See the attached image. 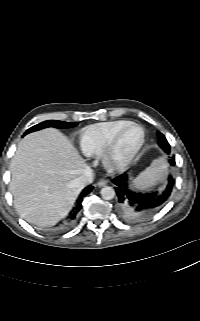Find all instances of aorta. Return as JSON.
<instances>
[{
  "mask_svg": "<svg viewBox=\"0 0 200 321\" xmlns=\"http://www.w3.org/2000/svg\"><path fill=\"white\" fill-rule=\"evenodd\" d=\"M101 196L105 200H111L115 196V190L110 186H105L100 191Z\"/></svg>",
  "mask_w": 200,
  "mask_h": 321,
  "instance_id": "1",
  "label": "aorta"
}]
</instances>
